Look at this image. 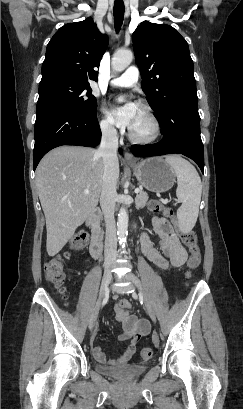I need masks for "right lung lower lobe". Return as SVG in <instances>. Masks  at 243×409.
<instances>
[{
	"label": "right lung lower lobe",
	"instance_id": "1",
	"mask_svg": "<svg viewBox=\"0 0 243 409\" xmlns=\"http://www.w3.org/2000/svg\"><path fill=\"white\" fill-rule=\"evenodd\" d=\"M101 139V131L92 113H78L65 109H47L36 113L34 170L41 158L51 149L61 145L95 147ZM120 153L122 152L119 149Z\"/></svg>",
	"mask_w": 243,
	"mask_h": 409
}]
</instances>
